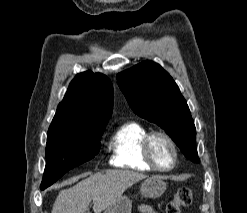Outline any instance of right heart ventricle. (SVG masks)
I'll list each match as a JSON object with an SVG mask.
<instances>
[{
    "instance_id": "e07e8e85",
    "label": "right heart ventricle",
    "mask_w": 247,
    "mask_h": 213,
    "mask_svg": "<svg viewBox=\"0 0 247 213\" xmlns=\"http://www.w3.org/2000/svg\"><path fill=\"white\" fill-rule=\"evenodd\" d=\"M148 133L149 130L139 122L121 124L109 140L111 164L136 171H153L142 152V143Z\"/></svg>"
}]
</instances>
